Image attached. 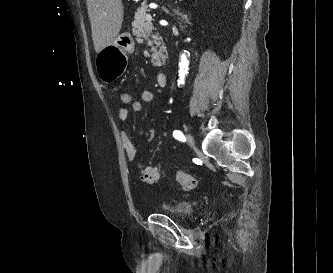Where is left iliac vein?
Instances as JSON below:
<instances>
[{
	"label": "left iliac vein",
	"mask_w": 333,
	"mask_h": 273,
	"mask_svg": "<svg viewBox=\"0 0 333 273\" xmlns=\"http://www.w3.org/2000/svg\"><path fill=\"white\" fill-rule=\"evenodd\" d=\"M186 141L190 146H194V138L191 134H186Z\"/></svg>",
	"instance_id": "4c4485c4"
}]
</instances>
